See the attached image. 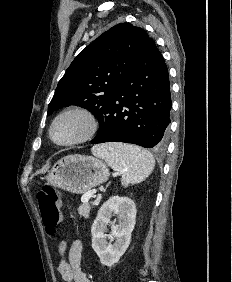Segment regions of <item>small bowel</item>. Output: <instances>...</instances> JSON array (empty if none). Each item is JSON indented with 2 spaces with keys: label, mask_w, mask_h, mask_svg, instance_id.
<instances>
[{
  "label": "small bowel",
  "mask_w": 232,
  "mask_h": 282,
  "mask_svg": "<svg viewBox=\"0 0 232 282\" xmlns=\"http://www.w3.org/2000/svg\"><path fill=\"white\" fill-rule=\"evenodd\" d=\"M82 251V242L78 239L74 240L70 246L65 240L60 242L58 270L64 282H91L81 267Z\"/></svg>",
  "instance_id": "obj_1"
}]
</instances>
